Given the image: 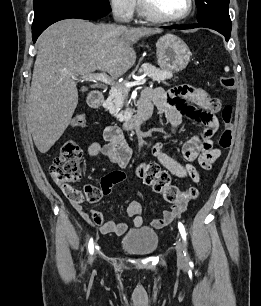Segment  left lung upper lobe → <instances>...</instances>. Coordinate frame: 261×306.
<instances>
[{"instance_id": "left-lung-upper-lobe-1", "label": "left lung upper lobe", "mask_w": 261, "mask_h": 306, "mask_svg": "<svg viewBox=\"0 0 261 306\" xmlns=\"http://www.w3.org/2000/svg\"><path fill=\"white\" fill-rule=\"evenodd\" d=\"M199 23L231 27L229 0H195Z\"/></svg>"}]
</instances>
